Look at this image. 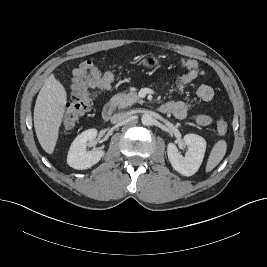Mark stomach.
I'll return each mask as SVG.
<instances>
[{
  "instance_id": "0dacf381",
  "label": "stomach",
  "mask_w": 267,
  "mask_h": 267,
  "mask_svg": "<svg viewBox=\"0 0 267 267\" xmlns=\"http://www.w3.org/2000/svg\"><path fill=\"white\" fill-rule=\"evenodd\" d=\"M139 64L146 66L147 68H156L159 66L160 61H159V58L156 57L155 55L149 54V55L144 56L142 60L140 59Z\"/></svg>"
}]
</instances>
